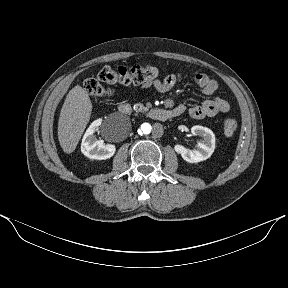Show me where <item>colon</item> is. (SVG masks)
<instances>
[{
	"label": "colon",
	"mask_w": 288,
	"mask_h": 288,
	"mask_svg": "<svg viewBox=\"0 0 288 288\" xmlns=\"http://www.w3.org/2000/svg\"><path fill=\"white\" fill-rule=\"evenodd\" d=\"M160 70L153 65L133 66L131 68L104 67L98 73V78H89L83 81L84 90L91 96L107 97L112 95L110 88L104 87L100 82L107 84L140 85L158 78ZM238 124L234 118H226L223 122V131L227 136L233 135Z\"/></svg>",
	"instance_id": "1"
}]
</instances>
